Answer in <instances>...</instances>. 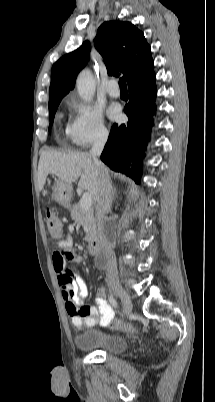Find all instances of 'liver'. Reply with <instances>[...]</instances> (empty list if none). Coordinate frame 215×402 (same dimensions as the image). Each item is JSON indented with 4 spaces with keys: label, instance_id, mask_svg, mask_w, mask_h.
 I'll use <instances>...</instances> for the list:
<instances>
[{
    "label": "liver",
    "instance_id": "6515ba94",
    "mask_svg": "<svg viewBox=\"0 0 215 402\" xmlns=\"http://www.w3.org/2000/svg\"><path fill=\"white\" fill-rule=\"evenodd\" d=\"M49 174L67 184H72L80 177L78 187L87 190L94 200L97 199L98 173L93 158L88 153L43 151L38 165L39 191L43 189Z\"/></svg>",
    "mask_w": 215,
    "mask_h": 402
}]
</instances>
